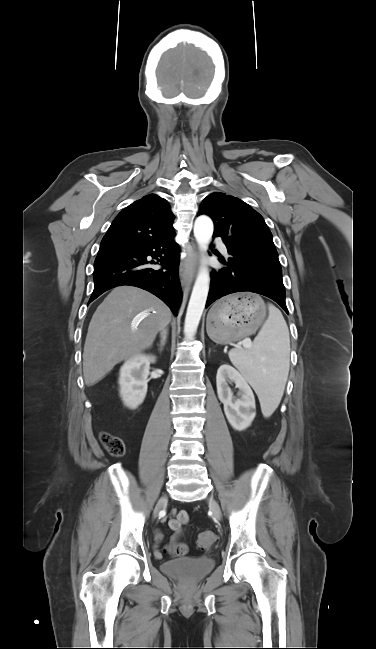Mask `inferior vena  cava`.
Segmentation results:
<instances>
[{
    "mask_svg": "<svg viewBox=\"0 0 376 649\" xmlns=\"http://www.w3.org/2000/svg\"><path fill=\"white\" fill-rule=\"evenodd\" d=\"M161 330H162V332H161L162 339H163V338L166 339L167 330L165 329V327H163Z\"/></svg>",
    "mask_w": 376,
    "mask_h": 649,
    "instance_id": "inferior-vena-cava-1",
    "label": "inferior vena cava"
}]
</instances>
